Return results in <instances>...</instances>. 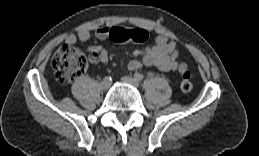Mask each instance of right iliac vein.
<instances>
[{"mask_svg": "<svg viewBox=\"0 0 259 156\" xmlns=\"http://www.w3.org/2000/svg\"><path fill=\"white\" fill-rule=\"evenodd\" d=\"M110 85H111L110 81H107V80H103L100 83V87L102 90H107L110 87Z\"/></svg>", "mask_w": 259, "mask_h": 156, "instance_id": "63e3f726", "label": "right iliac vein"}]
</instances>
